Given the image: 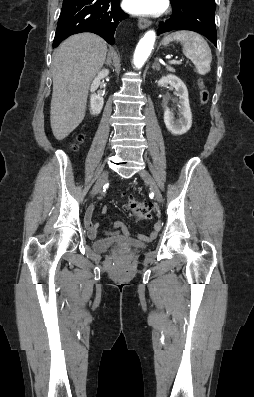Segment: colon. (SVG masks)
<instances>
[{
  "mask_svg": "<svg viewBox=\"0 0 254 397\" xmlns=\"http://www.w3.org/2000/svg\"><path fill=\"white\" fill-rule=\"evenodd\" d=\"M198 87H199V93H200V101L203 105H205L208 102L209 93H208L202 79H198ZM82 140H83V136L79 135L77 137V141L81 142ZM126 203H127L130 213L138 220H146V219H150L152 217L151 206H149L145 203L139 202L131 196L126 197Z\"/></svg>",
  "mask_w": 254,
  "mask_h": 397,
  "instance_id": "colon-1",
  "label": "colon"
}]
</instances>
